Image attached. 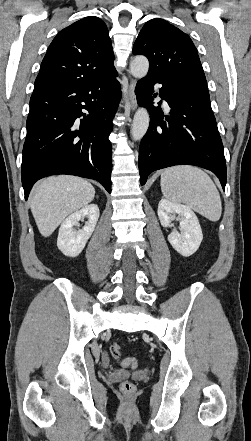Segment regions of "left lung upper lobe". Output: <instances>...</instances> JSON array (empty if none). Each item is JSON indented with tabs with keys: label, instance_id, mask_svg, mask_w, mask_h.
Instances as JSON below:
<instances>
[{
	"label": "left lung upper lobe",
	"instance_id": "obj_1",
	"mask_svg": "<svg viewBox=\"0 0 251 441\" xmlns=\"http://www.w3.org/2000/svg\"><path fill=\"white\" fill-rule=\"evenodd\" d=\"M133 54L148 58L150 75L191 81L207 88L192 40L163 19L154 18L146 22L135 41Z\"/></svg>",
	"mask_w": 251,
	"mask_h": 441
}]
</instances>
